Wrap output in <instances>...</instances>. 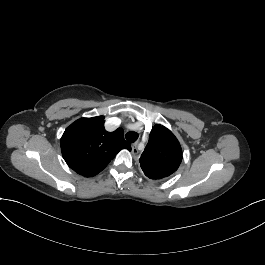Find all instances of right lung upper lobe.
<instances>
[{"label":"right lung upper lobe","mask_w":265,"mask_h":265,"mask_svg":"<svg viewBox=\"0 0 265 265\" xmlns=\"http://www.w3.org/2000/svg\"><path fill=\"white\" fill-rule=\"evenodd\" d=\"M131 150L118 128L107 132L104 117L80 118L61 138V150L68 166L80 175L92 177L101 172L122 149Z\"/></svg>","instance_id":"cb5924a9"}]
</instances>
